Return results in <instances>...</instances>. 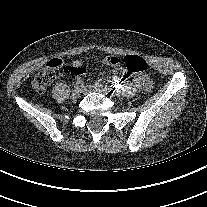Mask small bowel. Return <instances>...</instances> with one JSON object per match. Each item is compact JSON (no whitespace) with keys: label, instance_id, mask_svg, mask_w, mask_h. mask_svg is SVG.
<instances>
[{"label":"small bowel","instance_id":"c3829d8e","mask_svg":"<svg viewBox=\"0 0 207 207\" xmlns=\"http://www.w3.org/2000/svg\"><path fill=\"white\" fill-rule=\"evenodd\" d=\"M53 60H55V59H53ZM53 60H51V61H53ZM102 63L106 64V65H109V66H112L116 70L122 71L123 73L126 72V70L121 67L120 60L115 56H110V57L104 58L102 60ZM70 71L73 74L77 75V76L82 75L84 73V70H83V67H82V62L80 60H75L72 64V67H71ZM114 80H115V83L117 85H119V84H130V82H127L125 79L119 78L117 76L114 77ZM131 84L136 86L137 88H139L140 90H142L144 92H150L152 90V87H153L152 80L147 75L135 76L133 81L131 82Z\"/></svg>","mask_w":207,"mask_h":207}]
</instances>
